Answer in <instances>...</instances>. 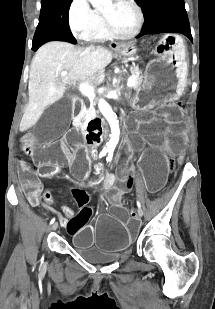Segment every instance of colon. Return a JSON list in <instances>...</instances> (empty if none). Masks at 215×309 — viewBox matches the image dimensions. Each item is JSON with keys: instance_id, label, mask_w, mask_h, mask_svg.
Instances as JSON below:
<instances>
[{"instance_id": "5ec220e1", "label": "colon", "mask_w": 215, "mask_h": 309, "mask_svg": "<svg viewBox=\"0 0 215 309\" xmlns=\"http://www.w3.org/2000/svg\"><path fill=\"white\" fill-rule=\"evenodd\" d=\"M39 150H35V154L38 153ZM50 156H42L41 158H47ZM52 158V157H51ZM56 161L54 158L52 159H44L41 163H40V172L42 173H50L53 172L56 169ZM43 198L44 200H50L51 199V193L50 191L46 190L43 193ZM92 212L91 208H87L84 212H82L81 214V219H88L89 218V214Z\"/></svg>"}]
</instances>
